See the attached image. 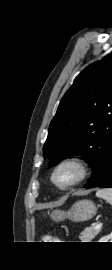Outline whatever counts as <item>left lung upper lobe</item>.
<instances>
[{
    "mask_svg": "<svg viewBox=\"0 0 112 270\" xmlns=\"http://www.w3.org/2000/svg\"><path fill=\"white\" fill-rule=\"evenodd\" d=\"M111 147L112 52L76 77L50 123L43 152L50 166L67 156L87 157L94 178Z\"/></svg>",
    "mask_w": 112,
    "mask_h": 270,
    "instance_id": "obj_1",
    "label": "left lung upper lobe"
}]
</instances>
